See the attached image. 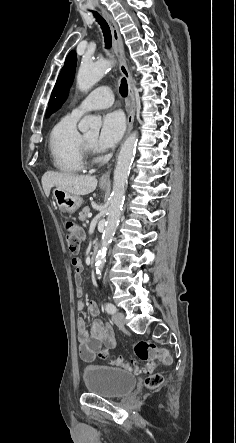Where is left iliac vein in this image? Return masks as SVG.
<instances>
[{"label": "left iliac vein", "mask_w": 236, "mask_h": 443, "mask_svg": "<svg viewBox=\"0 0 236 443\" xmlns=\"http://www.w3.org/2000/svg\"><path fill=\"white\" fill-rule=\"evenodd\" d=\"M112 320L119 328L124 327L125 317L123 313L121 312L114 313L112 315Z\"/></svg>", "instance_id": "1"}]
</instances>
